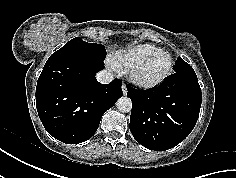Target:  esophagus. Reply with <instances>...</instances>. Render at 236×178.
I'll use <instances>...</instances> for the list:
<instances>
[{
  "label": "esophagus",
  "instance_id": "obj_1",
  "mask_svg": "<svg viewBox=\"0 0 236 178\" xmlns=\"http://www.w3.org/2000/svg\"><path fill=\"white\" fill-rule=\"evenodd\" d=\"M121 88H122L123 95H127V88H126L125 84H122Z\"/></svg>",
  "mask_w": 236,
  "mask_h": 178
}]
</instances>
